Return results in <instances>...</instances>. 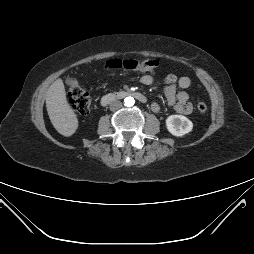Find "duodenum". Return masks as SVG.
Masks as SVG:
<instances>
[{"instance_id": "duodenum-1", "label": "duodenum", "mask_w": 254, "mask_h": 254, "mask_svg": "<svg viewBox=\"0 0 254 254\" xmlns=\"http://www.w3.org/2000/svg\"><path fill=\"white\" fill-rule=\"evenodd\" d=\"M134 97L137 100H139L140 102H146V97L137 91H131V90H122V91H117V92H112V93H108L105 94L102 98H101V104L103 106L110 104L113 101L116 100H120V99H124L126 97Z\"/></svg>"}]
</instances>
